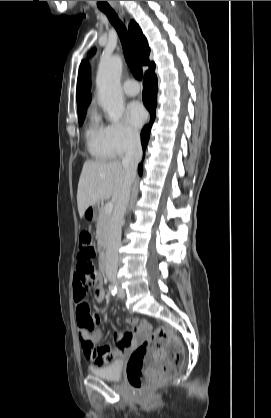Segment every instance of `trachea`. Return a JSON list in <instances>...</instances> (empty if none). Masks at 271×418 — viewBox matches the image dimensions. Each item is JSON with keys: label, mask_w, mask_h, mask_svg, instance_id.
Returning a JSON list of instances; mask_svg holds the SVG:
<instances>
[{"label": "trachea", "mask_w": 271, "mask_h": 418, "mask_svg": "<svg viewBox=\"0 0 271 418\" xmlns=\"http://www.w3.org/2000/svg\"><path fill=\"white\" fill-rule=\"evenodd\" d=\"M102 12L107 15V17L109 18L110 22L113 24V26L115 27L119 35V38H120V41L124 50L125 60L132 74L134 75L136 79L142 80L143 70H142L141 64L136 58L135 47L127 32L126 27L119 20L117 14L115 13L113 9H103Z\"/></svg>", "instance_id": "trachea-1"}]
</instances>
